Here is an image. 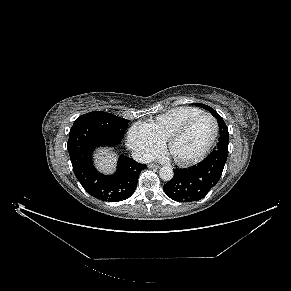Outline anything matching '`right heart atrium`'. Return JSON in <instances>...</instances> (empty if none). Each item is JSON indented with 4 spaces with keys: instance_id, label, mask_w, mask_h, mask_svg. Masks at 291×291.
<instances>
[{
    "instance_id": "obj_1",
    "label": "right heart atrium",
    "mask_w": 291,
    "mask_h": 291,
    "mask_svg": "<svg viewBox=\"0 0 291 291\" xmlns=\"http://www.w3.org/2000/svg\"><path fill=\"white\" fill-rule=\"evenodd\" d=\"M129 148L140 158L148 159L161 147V142L150 134L143 125H134L128 132Z\"/></svg>"
}]
</instances>
